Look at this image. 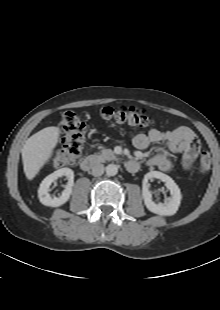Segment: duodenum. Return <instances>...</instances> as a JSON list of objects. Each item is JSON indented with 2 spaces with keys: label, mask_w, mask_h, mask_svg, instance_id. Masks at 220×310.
<instances>
[{
  "label": "duodenum",
  "mask_w": 220,
  "mask_h": 310,
  "mask_svg": "<svg viewBox=\"0 0 220 310\" xmlns=\"http://www.w3.org/2000/svg\"><path fill=\"white\" fill-rule=\"evenodd\" d=\"M100 163V160L96 156H87L81 160L80 166L83 171H91L96 168ZM127 170L135 172L139 168V163L135 160H129L126 163Z\"/></svg>",
  "instance_id": "1"
}]
</instances>
